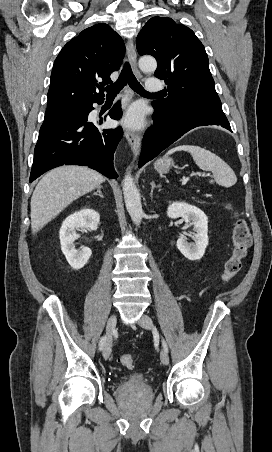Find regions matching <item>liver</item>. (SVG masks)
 I'll use <instances>...</instances> for the list:
<instances>
[{
    "mask_svg": "<svg viewBox=\"0 0 272 452\" xmlns=\"http://www.w3.org/2000/svg\"><path fill=\"white\" fill-rule=\"evenodd\" d=\"M104 181L100 173L84 166H61L48 172L31 197L32 233H37L73 201Z\"/></svg>",
    "mask_w": 272,
    "mask_h": 452,
    "instance_id": "1",
    "label": "liver"
}]
</instances>
